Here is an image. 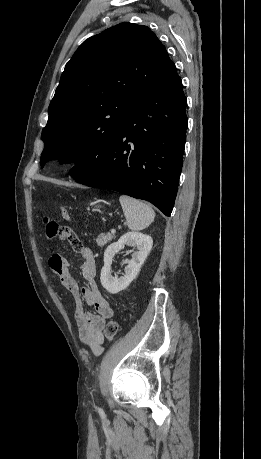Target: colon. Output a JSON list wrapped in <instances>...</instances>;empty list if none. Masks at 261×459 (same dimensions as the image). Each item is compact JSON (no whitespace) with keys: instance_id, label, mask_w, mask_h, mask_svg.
<instances>
[{"instance_id":"5ec220e1","label":"colon","mask_w":261,"mask_h":459,"mask_svg":"<svg viewBox=\"0 0 261 459\" xmlns=\"http://www.w3.org/2000/svg\"><path fill=\"white\" fill-rule=\"evenodd\" d=\"M60 216L65 220L69 219V213L66 208L64 207L60 208ZM47 224H49L52 227H55L57 225L54 221L47 222ZM118 331H119L118 322L115 320L109 321L104 327L105 338L108 341H112L117 336Z\"/></svg>"}]
</instances>
